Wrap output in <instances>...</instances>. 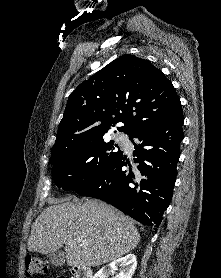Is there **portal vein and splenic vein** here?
I'll return each mask as SVG.
<instances>
[{"mask_svg":"<svg viewBox=\"0 0 221 278\" xmlns=\"http://www.w3.org/2000/svg\"><path fill=\"white\" fill-rule=\"evenodd\" d=\"M82 243H86V240H81Z\"/></svg>","mask_w":221,"mask_h":278,"instance_id":"obj_1","label":"portal vein and splenic vein"}]
</instances>
